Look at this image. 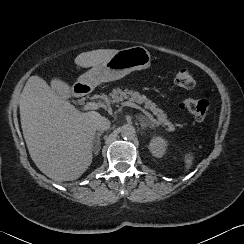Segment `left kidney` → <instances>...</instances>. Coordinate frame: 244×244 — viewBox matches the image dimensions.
<instances>
[{
  "label": "left kidney",
  "instance_id": "obj_1",
  "mask_svg": "<svg viewBox=\"0 0 244 244\" xmlns=\"http://www.w3.org/2000/svg\"><path fill=\"white\" fill-rule=\"evenodd\" d=\"M168 142L161 136H154L149 143V150L154 157L160 158L165 154Z\"/></svg>",
  "mask_w": 244,
  "mask_h": 244
}]
</instances>
